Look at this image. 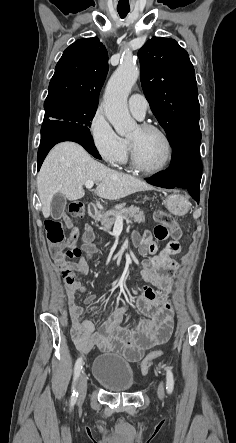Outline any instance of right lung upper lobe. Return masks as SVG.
<instances>
[{
  "instance_id": "right-lung-upper-lobe-1",
  "label": "right lung upper lobe",
  "mask_w": 236,
  "mask_h": 443,
  "mask_svg": "<svg viewBox=\"0 0 236 443\" xmlns=\"http://www.w3.org/2000/svg\"><path fill=\"white\" fill-rule=\"evenodd\" d=\"M108 73V53L97 37L79 39L65 49L49 84L45 102L71 99L98 105Z\"/></svg>"
}]
</instances>
